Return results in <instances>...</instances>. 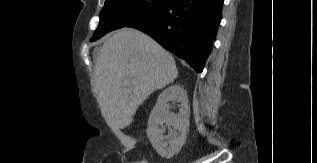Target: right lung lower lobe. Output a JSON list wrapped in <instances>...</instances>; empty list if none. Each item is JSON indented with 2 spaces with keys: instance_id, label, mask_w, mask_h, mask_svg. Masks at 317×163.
Wrapping results in <instances>:
<instances>
[{
  "instance_id": "1",
  "label": "right lung lower lobe",
  "mask_w": 317,
  "mask_h": 163,
  "mask_svg": "<svg viewBox=\"0 0 317 163\" xmlns=\"http://www.w3.org/2000/svg\"><path fill=\"white\" fill-rule=\"evenodd\" d=\"M224 0H169L127 27L139 29L202 72L221 21Z\"/></svg>"
}]
</instances>
